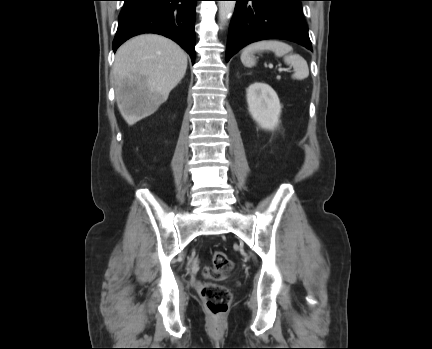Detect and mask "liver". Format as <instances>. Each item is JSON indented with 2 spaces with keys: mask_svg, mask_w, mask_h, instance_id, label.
Masks as SVG:
<instances>
[{
  "mask_svg": "<svg viewBox=\"0 0 432 349\" xmlns=\"http://www.w3.org/2000/svg\"><path fill=\"white\" fill-rule=\"evenodd\" d=\"M187 55L170 39L144 34L115 54L113 76L117 106L129 125L155 113L181 81Z\"/></svg>",
  "mask_w": 432,
  "mask_h": 349,
  "instance_id": "6515ba94",
  "label": "liver"
}]
</instances>
